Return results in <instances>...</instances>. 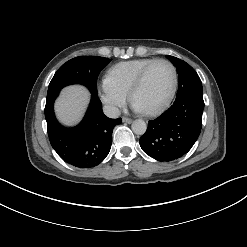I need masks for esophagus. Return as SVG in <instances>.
I'll use <instances>...</instances> for the list:
<instances>
[{"mask_svg": "<svg viewBox=\"0 0 247 247\" xmlns=\"http://www.w3.org/2000/svg\"><path fill=\"white\" fill-rule=\"evenodd\" d=\"M122 121L125 122V123H128V124L132 123V119L126 118V117H123Z\"/></svg>", "mask_w": 247, "mask_h": 247, "instance_id": "obj_1", "label": "esophagus"}]
</instances>
